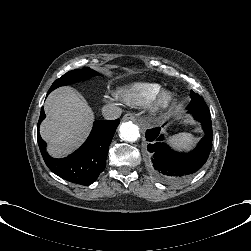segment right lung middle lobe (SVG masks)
<instances>
[{
	"instance_id": "dd1d6c3e",
	"label": "right lung middle lobe",
	"mask_w": 251,
	"mask_h": 251,
	"mask_svg": "<svg viewBox=\"0 0 251 251\" xmlns=\"http://www.w3.org/2000/svg\"><path fill=\"white\" fill-rule=\"evenodd\" d=\"M96 75H99V74L95 72L94 70H91L89 67L69 71L66 74H64L61 78L57 79L52 84L47 94H49L51 91H53L54 89L60 86H66L74 82H78L80 80L91 78Z\"/></svg>"
}]
</instances>
